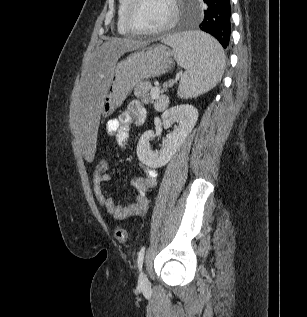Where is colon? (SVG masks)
I'll list each match as a JSON object with an SVG mask.
<instances>
[{
  "instance_id": "colon-1",
  "label": "colon",
  "mask_w": 307,
  "mask_h": 317,
  "mask_svg": "<svg viewBox=\"0 0 307 317\" xmlns=\"http://www.w3.org/2000/svg\"><path fill=\"white\" fill-rule=\"evenodd\" d=\"M107 170V162L105 159H98L95 163L94 172L104 173ZM115 237L121 243H126L128 241V233L123 227H117L115 229Z\"/></svg>"
}]
</instances>
